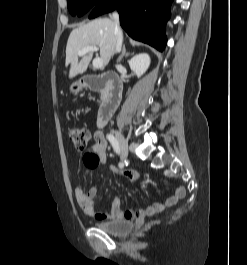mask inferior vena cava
Here are the masks:
<instances>
[{
	"label": "inferior vena cava",
	"mask_w": 247,
	"mask_h": 265,
	"mask_svg": "<svg viewBox=\"0 0 247 265\" xmlns=\"http://www.w3.org/2000/svg\"><path fill=\"white\" fill-rule=\"evenodd\" d=\"M113 19L115 22V34H116V48L115 52L120 51L121 46H122V32L119 27V15L118 13H113Z\"/></svg>",
	"instance_id": "602c4592"
}]
</instances>
